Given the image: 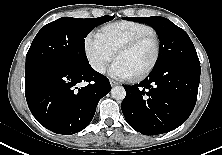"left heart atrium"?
<instances>
[{"mask_svg":"<svg viewBox=\"0 0 222 155\" xmlns=\"http://www.w3.org/2000/svg\"><path fill=\"white\" fill-rule=\"evenodd\" d=\"M109 73L112 77L118 79H128L133 76L125 64L118 59L112 64Z\"/></svg>","mask_w":222,"mask_h":155,"instance_id":"1","label":"left heart atrium"}]
</instances>
